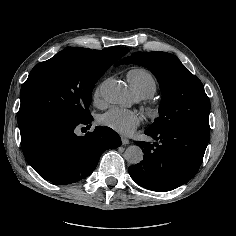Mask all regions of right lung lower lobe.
I'll list each match as a JSON object with an SVG mask.
<instances>
[{
  "label": "right lung lower lobe",
  "mask_w": 236,
  "mask_h": 236,
  "mask_svg": "<svg viewBox=\"0 0 236 236\" xmlns=\"http://www.w3.org/2000/svg\"><path fill=\"white\" fill-rule=\"evenodd\" d=\"M92 116L81 123L46 124L21 138L27 162L46 180L70 184L89 176L101 154L121 146V138L109 127L97 126L83 136L78 128L89 129Z\"/></svg>",
  "instance_id": "right-lung-lower-lobe-1"
}]
</instances>
